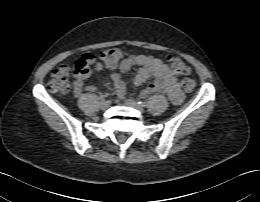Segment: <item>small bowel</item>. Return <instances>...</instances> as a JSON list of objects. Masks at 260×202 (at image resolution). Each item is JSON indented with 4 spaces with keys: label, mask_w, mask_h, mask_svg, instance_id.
I'll return each mask as SVG.
<instances>
[{
    "label": "small bowel",
    "mask_w": 260,
    "mask_h": 202,
    "mask_svg": "<svg viewBox=\"0 0 260 202\" xmlns=\"http://www.w3.org/2000/svg\"><path fill=\"white\" fill-rule=\"evenodd\" d=\"M139 66V69L134 77L133 83L139 86L148 79L153 78V81L140 93L141 97H146L152 93H164L170 101L178 105L183 100V94L180 84L171 74L168 67L159 58L148 55H129L125 57L118 68L111 76L115 92L121 99L125 98L127 93L126 84L123 75L131 70L132 67ZM99 64L95 65V70H100ZM91 74L90 70L82 71L75 75L74 78V94L80 95L82 91L87 90L94 92L98 90L97 86H85L86 80Z\"/></svg>",
    "instance_id": "1"
}]
</instances>
